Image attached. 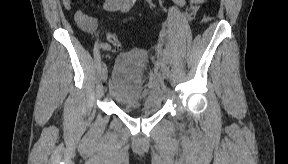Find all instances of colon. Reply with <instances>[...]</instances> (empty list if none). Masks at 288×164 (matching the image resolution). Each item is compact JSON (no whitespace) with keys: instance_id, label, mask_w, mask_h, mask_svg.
Returning <instances> with one entry per match:
<instances>
[{"instance_id":"1","label":"colon","mask_w":288,"mask_h":164,"mask_svg":"<svg viewBox=\"0 0 288 164\" xmlns=\"http://www.w3.org/2000/svg\"><path fill=\"white\" fill-rule=\"evenodd\" d=\"M90 18V17H89ZM92 19V18H90ZM92 24H89L87 28H91ZM105 39L110 43V46L120 47V41L113 33L106 32L103 35ZM114 52H121V49H114Z\"/></svg>"}]
</instances>
